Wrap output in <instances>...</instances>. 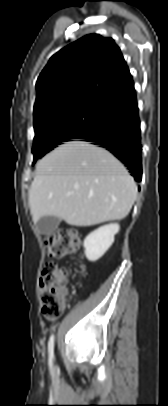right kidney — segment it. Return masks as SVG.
Wrapping results in <instances>:
<instances>
[{
    "label": "right kidney",
    "instance_id": "ca27d5eb",
    "mask_svg": "<svg viewBox=\"0 0 168 406\" xmlns=\"http://www.w3.org/2000/svg\"><path fill=\"white\" fill-rule=\"evenodd\" d=\"M119 224L104 225L91 232L84 240L85 255L89 261H97L110 248L114 236L119 232Z\"/></svg>",
    "mask_w": 168,
    "mask_h": 406
}]
</instances>
